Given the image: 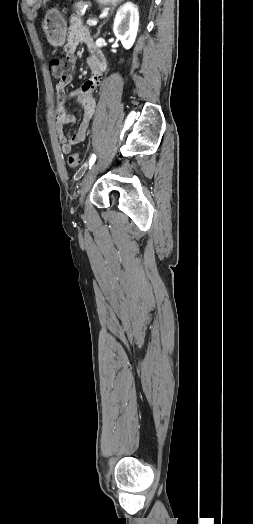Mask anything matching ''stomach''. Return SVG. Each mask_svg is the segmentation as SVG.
Segmentation results:
<instances>
[{"instance_id":"stomach-1","label":"stomach","mask_w":253,"mask_h":524,"mask_svg":"<svg viewBox=\"0 0 253 524\" xmlns=\"http://www.w3.org/2000/svg\"><path fill=\"white\" fill-rule=\"evenodd\" d=\"M120 1L121 0H97L102 6L116 5ZM42 29L51 45L57 47L65 43L67 24L59 10L51 9L46 12Z\"/></svg>"}]
</instances>
